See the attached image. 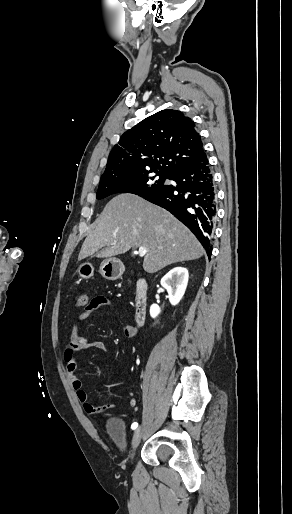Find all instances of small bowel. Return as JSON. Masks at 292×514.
<instances>
[{"mask_svg":"<svg viewBox=\"0 0 292 514\" xmlns=\"http://www.w3.org/2000/svg\"><path fill=\"white\" fill-rule=\"evenodd\" d=\"M111 306V301L103 295H97L94 296L90 303L89 308L81 312L77 315L76 321L72 323L70 332H69V339L66 344L65 350H64V358H65V367L66 372L68 374V379L70 382V385L72 389L76 392L77 397L79 401L83 404L82 409L84 412L88 413L90 417H93L95 415V412L97 414L106 413L110 409L115 410L116 406L109 404H92L88 402V395L82 388V381L74 375L75 371L77 370V353L82 350H88V349H96L99 351H102L104 353L108 352L107 345L101 341V340H89L85 337H83L78 328V322L84 321L88 318L90 313L100 309V308H108ZM124 333L129 338H135L139 333V328L137 325H125L124 326ZM129 404L131 406H136L138 404V401L134 397V393L132 391H129L127 393ZM95 411V412H94Z\"/></svg>","mask_w":292,"mask_h":514,"instance_id":"1","label":"small bowel"}]
</instances>
